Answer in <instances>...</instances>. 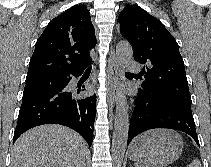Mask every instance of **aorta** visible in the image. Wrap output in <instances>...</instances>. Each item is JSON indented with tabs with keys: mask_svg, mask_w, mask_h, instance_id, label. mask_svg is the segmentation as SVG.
<instances>
[{
	"mask_svg": "<svg viewBox=\"0 0 211 167\" xmlns=\"http://www.w3.org/2000/svg\"><path fill=\"white\" fill-rule=\"evenodd\" d=\"M131 57V45L126 41L119 42L116 46L115 61L121 79L124 78L123 72L125 71L126 65ZM128 110L129 106L127 104L126 96L121 92L116 98V113L111 149L113 164L115 167L121 166L125 155L129 131Z\"/></svg>",
	"mask_w": 211,
	"mask_h": 167,
	"instance_id": "762f6f07",
	"label": "aorta"
}]
</instances>
